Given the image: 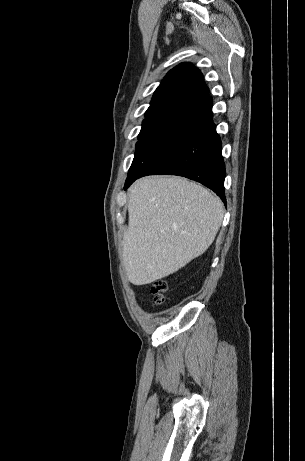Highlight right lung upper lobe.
Returning a JSON list of instances; mask_svg holds the SVG:
<instances>
[{"label":"right lung upper lobe","mask_w":305,"mask_h":461,"mask_svg":"<svg viewBox=\"0 0 305 461\" xmlns=\"http://www.w3.org/2000/svg\"><path fill=\"white\" fill-rule=\"evenodd\" d=\"M202 73L191 63L174 67L156 89L149 108L181 106L191 108L208 98Z\"/></svg>","instance_id":"1"}]
</instances>
